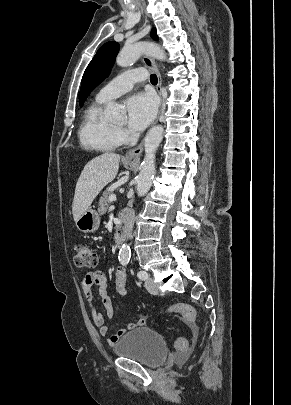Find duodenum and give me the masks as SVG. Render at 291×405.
<instances>
[{"label":"duodenum","instance_id":"duodenum-1","mask_svg":"<svg viewBox=\"0 0 291 405\" xmlns=\"http://www.w3.org/2000/svg\"><path fill=\"white\" fill-rule=\"evenodd\" d=\"M123 233H124V230L122 227L117 229V231L115 233V237H114V243H115L116 247L120 246L122 239H123Z\"/></svg>","mask_w":291,"mask_h":405}]
</instances>
